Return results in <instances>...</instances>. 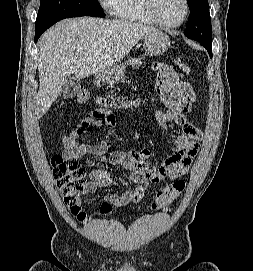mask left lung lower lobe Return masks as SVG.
<instances>
[{
    "mask_svg": "<svg viewBox=\"0 0 253 271\" xmlns=\"http://www.w3.org/2000/svg\"><path fill=\"white\" fill-rule=\"evenodd\" d=\"M201 45H203L206 48V50L209 53L210 58H212V43L211 44H201Z\"/></svg>",
    "mask_w": 253,
    "mask_h": 271,
    "instance_id": "1",
    "label": "left lung lower lobe"
}]
</instances>
